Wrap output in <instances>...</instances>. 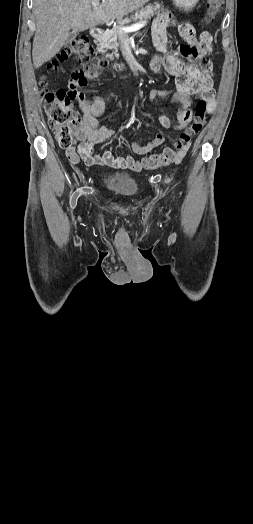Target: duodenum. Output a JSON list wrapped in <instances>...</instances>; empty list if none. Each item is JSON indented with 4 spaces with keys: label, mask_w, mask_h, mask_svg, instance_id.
<instances>
[{
    "label": "duodenum",
    "mask_w": 253,
    "mask_h": 524,
    "mask_svg": "<svg viewBox=\"0 0 253 524\" xmlns=\"http://www.w3.org/2000/svg\"><path fill=\"white\" fill-rule=\"evenodd\" d=\"M102 35H103V31L99 28H93L91 30V36L95 39V40H99L102 38ZM115 68H118V69H122V65L120 64H115L114 65Z\"/></svg>",
    "instance_id": "duodenum-1"
}]
</instances>
